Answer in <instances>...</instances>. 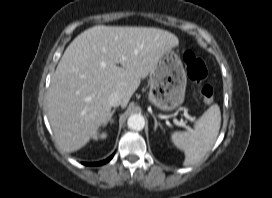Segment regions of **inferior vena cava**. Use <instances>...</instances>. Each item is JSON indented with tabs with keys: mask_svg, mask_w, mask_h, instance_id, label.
I'll return each mask as SVG.
<instances>
[{
	"mask_svg": "<svg viewBox=\"0 0 272 198\" xmlns=\"http://www.w3.org/2000/svg\"><path fill=\"white\" fill-rule=\"evenodd\" d=\"M109 103L111 107H117L122 103V97L118 92H113L109 96Z\"/></svg>",
	"mask_w": 272,
	"mask_h": 198,
	"instance_id": "obj_1",
	"label": "inferior vena cava"
}]
</instances>
